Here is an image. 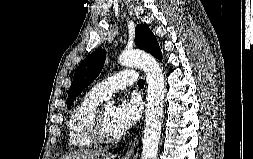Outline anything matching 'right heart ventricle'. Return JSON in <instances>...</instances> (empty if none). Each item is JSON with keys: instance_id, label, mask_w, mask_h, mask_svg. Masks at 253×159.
Listing matches in <instances>:
<instances>
[{"instance_id": "right-heart-ventricle-1", "label": "right heart ventricle", "mask_w": 253, "mask_h": 159, "mask_svg": "<svg viewBox=\"0 0 253 159\" xmlns=\"http://www.w3.org/2000/svg\"><path fill=\"white\" fill-rule=\"evenodd\" d=\"M102 100V97L90 91L71 110L67 125L70 147L86 150L95 145L90 135V125Z\"/></svg>"}]
</instances>
